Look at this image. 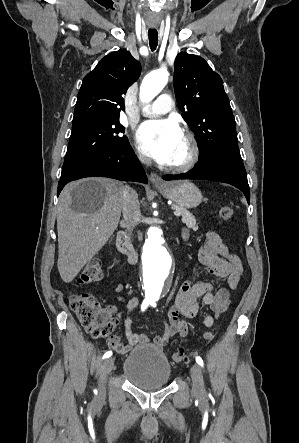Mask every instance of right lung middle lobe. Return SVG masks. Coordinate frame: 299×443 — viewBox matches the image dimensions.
Wrapping results in <instances>:
<instances>
[{"instance_id":"obj_1","label":"right lung middle lobe","mask_w":299,"mask_h":443,"mask_svg":"<svg viewBox=\"0 0 299 443\" xmlns=\"http://www.w3.org/2000/svg\"><path fill=\"white\" fill-rule=\"evenodd\" d=\"M119 117L90 118L72 124L67 154L61 175L102 156L123 152L130 144Z\"/></svg>"}]
</instances>
